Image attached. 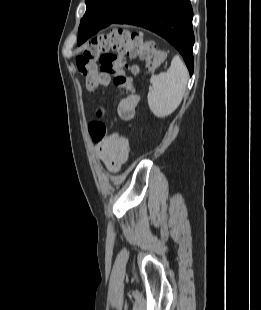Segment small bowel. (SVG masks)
I'll list each match as a JSON object with an SVG mask.
<instances>
[{
    "label": "small bowel",
    "instance_id": "1",
    "mask_svg": "<svg viewBox=\"0 0 261 310\" xmlns=\"http://www.w3.org/2000/svg\"><path fill=\"white\" fill-rule=\"evenodd\" d=\"M138 103L139 96L137 94H129L123 98L117 106L120 118L123 120L132 119ZM94 141L98 157L113 172L118 171L129 158L131 144L129 138L124 135L112 133Z\"/></svg>",
    "mask_w": 261,
    "mask_h": 310
}]
</instances>
